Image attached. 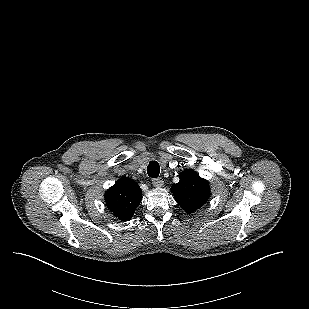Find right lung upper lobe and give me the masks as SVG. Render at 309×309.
<instances>
[{
	"mask_svg": "<svg viewBox=\"0 0 309 309\" xmlns=\"http://www.w3.org/2000/svg\"><path fill=\"white\" fill-rule=\"evenodd\" d=\"M142 191L129 177H122L105 193V202L112 213L122 221H128L139 206Z\"/></svg>",
	"mask_w": 309,
	"mask_h": 309,
	"instance_id": "right-lung-upper-lobe-1",
	"label": "right lung upper lobe"
}]
</instances>
